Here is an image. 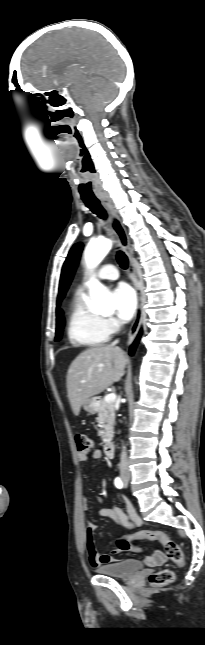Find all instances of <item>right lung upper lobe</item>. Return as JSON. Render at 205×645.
Returning <instances> with one entry per match:
<instances>
[{"label":"right lung upper lobe","instance_id":"obj_1","mask_svg":"<svg viewBox=\"0 0 205 645\" xmlns=\"http://www.w3.org/2000/svg\"><path fill=\"white\" fill-rule=\"evenodd\" d=\"M58 304H59V303H57V305H58ZM62 314H63V313H62V310H61L60 308H58V307H57V309H56L57 319H58V318H60V317H62Z\"/></svg>","mask_w":205,"mask_h":645}]
</instances>
